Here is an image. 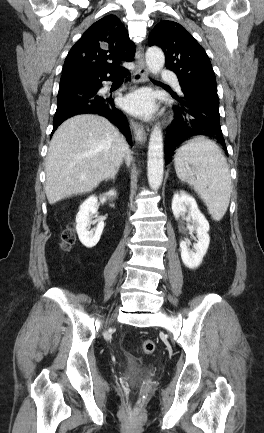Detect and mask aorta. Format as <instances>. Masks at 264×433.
Segmentation results:
<instances>
[{
    "label": "aorta",
    "mask_w": 264,
    "mask_h": 433,
    "mask_svg": "<svg viewBox=\"0 0 264 433\" xmlns=\"http://www.w3.org/2000/svg\"><path fill=\"white\" fill-rule=\"evenodd\" d=\"M165 63V56L161 49L150 47L146 52V64L152 74H158ZM148 182L152 190L160 188L164 174L163 134L159 126L151 132L148 146Z\"/></svg>",
    "instance_id": "aorta-1"
}]
</instances>
